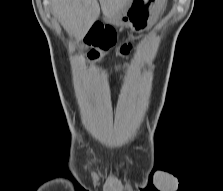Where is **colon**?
Returning a JSON list of instances; mask_svg holds the SVG:
<instances>
[{
    "label": "colon",
    "instance_id": "5ec220e1",
    "mask_svg": "<svg viewBox=\"0 0 223 191\" xmlns=\"http://www.w3.org/2000/svg\"><path fill=\"white\" fill-rule=\"evenodd\" d=\"M86 41L89 44L94 46H98L101 49H107L114 44L115 41V32L110 27H104V29L93 28L86 37ZM131 45L124 44L122 45L120 52L123 55H127L130 53ZM89 57L91 59H95L98 57V53L96 51H91L89 53ZM126 68V65H121L118 67V71H122Z\"/></svg>",
    "mask_w": 223,
    "mask_h": 191
}]
</instances>
